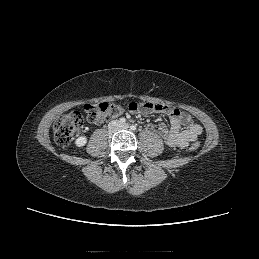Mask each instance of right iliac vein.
<instances>
[{
  "mask_svg": "<svg viewBox=\"0 0 259 259\" xmlns=\"http://www.w3.org/2000/svg\"><path fill=\"white\" fill-rule=\"evenodd\" d=\"M116 125H117L116 123L113 124V126H116Z\"/></svg>",
  "mask_w": 259,
  "mask_h": 259,
  "instance_id": "63e3f726",
  "label": "right iliac vein"
}]
</instances>
